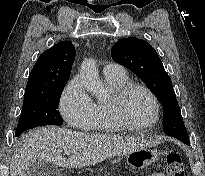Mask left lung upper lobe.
Returning <instances> with one entry per match:
<instances>
[{"label":"left lung upper lobe","mask_w":205,"mask_h":176,"mask_svg":"<svg viewBox=\"0 0 205 176\" xmlns=\"http://www.w3.org/2000/svg\"><path fill=\"white\" fill-rule=\"evenodd\" d=\"M111 56L139 76L163 104L165 133L190 145L171 79L157 52L145 40L129 37L113 45Z\"/></svg>","instance_id":"left-lung-upper-lobe-1"}]
</instances>
